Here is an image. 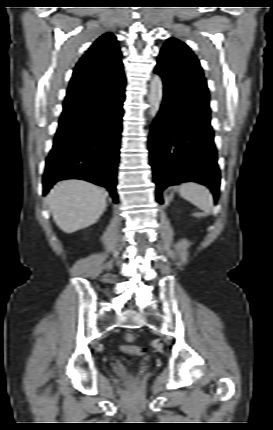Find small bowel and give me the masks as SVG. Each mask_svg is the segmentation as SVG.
<instances>
[{"label": "small bowel", "mask_w": 273, "mask_h": 430, "mask_svg": "<svg viewBox=\"0 0 273 430\" xmlns=\"http://www.w3.org/2000/svg\"><path fill=\"white\" fill-rule=\"evenodd\" d=\"M129 348H131V347H128V346H123L122 347L123 350L129 349Z\"/></svg>", "instance_id": "obj_1"}]
</instances>
